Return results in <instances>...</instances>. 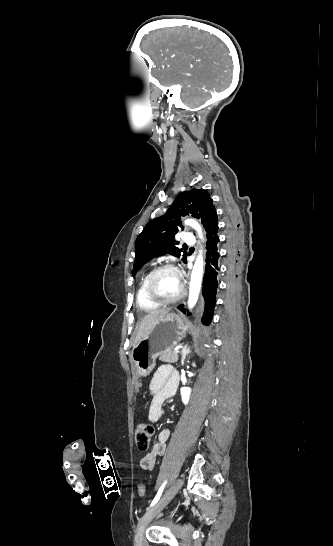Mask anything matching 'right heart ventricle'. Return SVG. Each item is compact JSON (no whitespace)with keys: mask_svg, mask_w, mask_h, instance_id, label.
<instances>
[{"mask_svg":"<svg viewBox=\"0 0 333 546\" xmlns=\"http://www.w3.org/2000/svg\"><path fill=\"white\" fill-rule=\"evenodd\" d=\"M149 273L145 274L143 276V278L141 279V282L139 284V287H138V290H137V293H136V302H137V306L143 310V311H146V312H151V311H154L156 309H158L160 307V305L152 302L147 294H146V291H145V284H146V280H147V277H148Z\"/></svg>","mask_w":333,"mask_h":546,"instance_id":"1","label":"right heart ventricle"}]
</instances>
